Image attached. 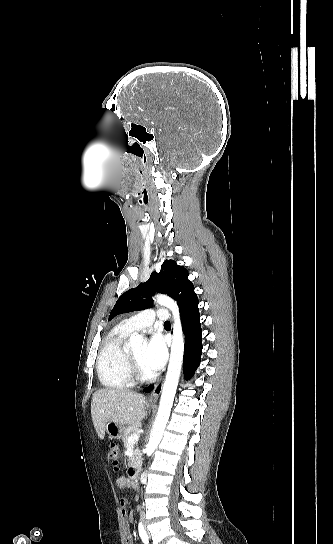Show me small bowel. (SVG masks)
Masks as SVG:
<instances>
[{
	"label": "small bowel",
	"instance_id": "obj_1",
	"mask_svg": "<svg viewBox=\"0 0 333 544\" xmlns=\"http://www.w3.org/2000/svg\"><path fill=\"white\" fill-rule=\"evenodd\" d=\"M117 486L119 488H121V489H131V488H133L134 484L129 479H127L126 477H120L117 480ZM120 503H121V507H122V516L124 518H126V516H127V511L125 509L126 500L121 499ZM126 541H127V544H133V537H132V535L130 533H127Z\"/></svg>",
	"mask_w": 333,
	"mask_h": 544
}]
</instances>
